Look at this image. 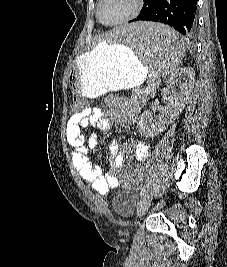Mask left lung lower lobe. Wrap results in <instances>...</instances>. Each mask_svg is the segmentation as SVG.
<instances>
[{
    "instance_id": "0a47b994",
    "label": "left lung lower lobe",
    "mask_w": 227,
    "mask_h": 267,
    "mask_svg": "<svg viewBox=\"0 0 227 267\" xmlns=\"http://www.w3.org/2000/svg\"><path fill=\"white\" fill-rule=\"evenodd\" d=\"M198 0H145L141 13L129 22L154 21L167 24L191 37L196 30ZM154 42V39L152 40Z\"/></svg>"
}]
</instances>
